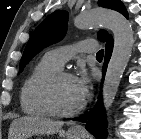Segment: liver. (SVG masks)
<instances>
[{"instance_id": "liver-1", "label": "liver", "mask_w": 141, "mask_h": 139, "mask_svg": "<svg viewBox=\"0 0 141 139\" xmlns=\"http://www.w3.org/2000/svg\"><path fill=\"white\" fill-rule=\"evenodd\" d=\"M64 125L62 121H54L39 116H24L13 120L9 130L10 139H28L33 135H50L59 132Z\"/></svg>"}]
</instances>
